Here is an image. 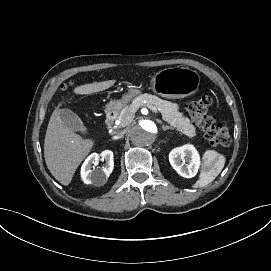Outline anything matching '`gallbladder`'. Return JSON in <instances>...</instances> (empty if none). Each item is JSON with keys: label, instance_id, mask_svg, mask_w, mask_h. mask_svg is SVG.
<instances>
[{"label": "gallbladder", "instance_id": "obj_1", "mask_svg": "<svg viewBox=\"0 0 271 271\" xmlns=\"http://www.w3.org/2000/svg\"><path fill=\"white\" fill-rule=\"evenodd\" d=\"M61 115L69 129L75 132L87 133L86 127L81 119L71 110L61 109Z\"/></svg>", "mask_w": 271, "mask_h": 271}]
</instances>
